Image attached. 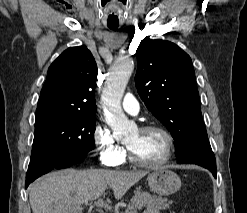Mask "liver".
Wrapping results in <instances>:
<instances>
[{"instance_id":"6515ba94","label":"liver","mask_w":247,"mask_h":213,"mask_svg":"<svg viewBox=\"0 0 247 213\" xmlns=\"http://www.w3.org/2000/svg\"><path fill=\"white\" fill-rule=\"evenodd\" d=\"M147 174L103 169L51 172L30 185L29 201L33 213H82V204L96 200L112 189L115 199Z\"/></svg>"}]
</instances>
